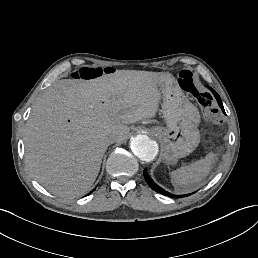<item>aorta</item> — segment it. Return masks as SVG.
I'll list each match as a JSON object with an SVG mask.
<instances>
[{
	"mask_svg": "<svg viewBox=\"0 0 258 258\" xmlns=\"http://www.w3.org/2000/svg\"><path fill=\"white\" fill-rule=\"evenodd\" d=\"M130 147L136 157L142 161H152L158 153L157 143L147 135H137L131 140Z\"/></svg>",
	"mask_w": 258,
	"mask_h": 258,
	"instance_id": "762f6f07",
	"label": "aorta"
}]
</instances>
